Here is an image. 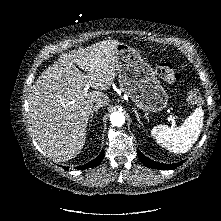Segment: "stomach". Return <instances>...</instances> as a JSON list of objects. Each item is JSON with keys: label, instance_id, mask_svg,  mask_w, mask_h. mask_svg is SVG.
I'll return each mask as SVG.
<instances>
[{"label": "stomach", "instance_id": "obj_1", "mask_svg": "<svg viewBox=\"0 0 221 221\" xmlns=\"http://www.w3.org/2000/svg\"><path fill=\"white\" fill-rule=\"evenodd\" d=\"M115 53L122 92L145 116L162 111L167 105L168 95L151 66L136 49L125 43H119Z\"/></svg>", "mask_w": 221, "mask_h": 221}]
</instances>
